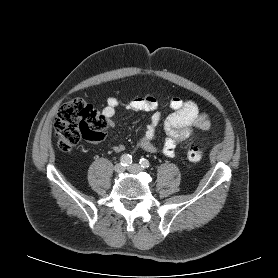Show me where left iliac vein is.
<instances>
[{"label":"left iliac vein","mask_w":278,"mask_h":278,"mask_svg":"<svg viewBox=\"0 0 278 278\" xmlns=\"http://www.w3.org/2000/svg\"><path fill=\"white\" fill-rule=\"evenodd\" d=\"M127 170L133 174H137L142 171V168L138 164H132L127 168Z\"/></svg>","instance_id":"4c4485c4"}]
</instances>
